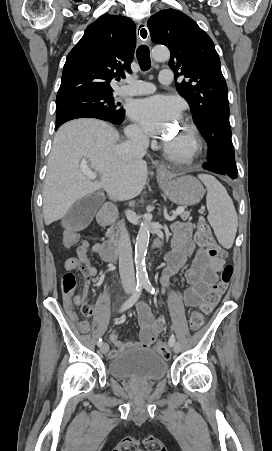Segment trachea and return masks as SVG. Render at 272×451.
<instances>
[{"label":"trachea","mask_w":272,"mask_h":451,"mask_svg":"<svg viewBox=\"0 0 272 451\" xmlns=\"http://www.w3.org/2000/svg\"><path fill=\"white\" fill-rule=\"evenodd\" d=\"M137 60L142 70H148L150 68V52L147 45H140L136 52Z\"/></svg>","instance_id":"3493384b"}]
</instances>
